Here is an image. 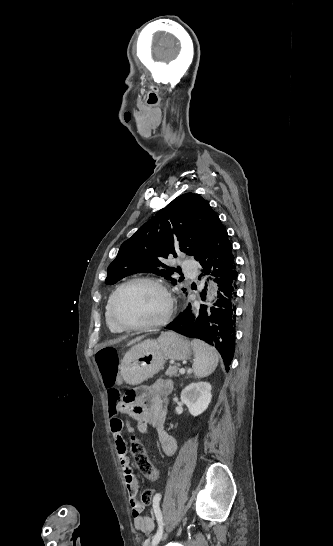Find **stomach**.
Masks as SVG:
<instances>
[{"label": "stomach", "mask_w": 333, "mask_h": 546, "mask_svg": "<svg viewBox=\"0 0 333 546\" xmlns=\"http://www.w3.org/2000/svg\"><path fill=\"white\" fill-rule=\"evenodd\" d=\"M192 352L191 343L174 332H162L157 339H146L127 351L119 364V374L130 385L148 380L160 370L167 359L185 360Z\"/></svg>", "instance_id": "stomach-1"}]
</instances>
